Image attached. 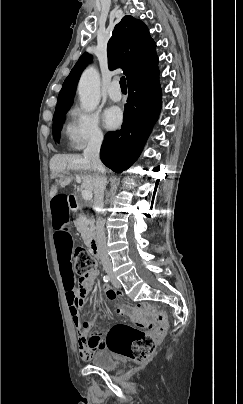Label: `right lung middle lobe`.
Listing matches in <instances>:
<instances>
[{"instance_id":"obj_1","label":"right lung middle lobe","mask_w":243,"mask_h":404,"mask_svg":"<svg viewBox=\"0 0 243 404\" xmlns=\"http://www.w3.org/2000/svg\"><path fill=\"white\" fill-rule=\"evenodd\" d=\"M70 109V107L60 109L55 112L54 117H53V126H52V131H53V138L56 142H59L60 140V131L64 122V115L67 113V111Z\"/></svg>"}]
</instances>
